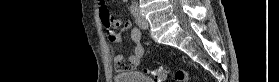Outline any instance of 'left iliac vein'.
Returning <instances> with one entry per match:
<instances>
[{"instance_id": "left-iliac-vein-1", "label": "left iliac vein", "mask_w": 279, "mask_h": 82, "mask_svg": "<svg viewBox=\"0 0 279 82\" xmlns=\"http://www.w3.org/2000/svg\"><path fill=\"white\" fill-rule=\"evenodd\" d=\"M136 24L143 29L148 28V21L142 16L139 9H135L134 12Z\"/></svg>"}]
</instances>
